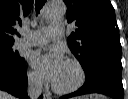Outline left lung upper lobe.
<instances>
[{"mask_svg": "<svg viewBox=\"0 0 128 99\" xmlns=\"http://www.w3.org/2000/svg\"><path fill=\"white\" fill-rule=\"evenodd\" d=\"M67 21L77 29L68 37V46L80 64L96 53L121 55L119 28L109 0H64Z\"/></svg>", "mask_w": 128, "mask_h": 99, "instance_id": "obj_1", "label": "left lung upper lobe"}]
</instances>
